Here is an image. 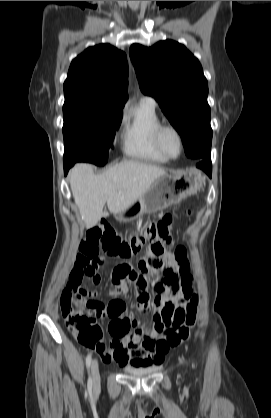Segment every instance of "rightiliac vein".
<instances>
[{"label": "right iliac vein", "mask_w": 271, "mask_h": 418, "mask_svg": "<svg viewBox=\"0 0 271 418\" xmlns=\"http://www.w3.org/2000/svg\"><path fill=\"white\" fill-rule=\"evenodd\" d=\"M91 375L93 381V388L98 389L100 386V373L98 361L94 359L91 364Z\"/></svg>", "instance_id": "right-iliac-vein-1"}]
</instances>
